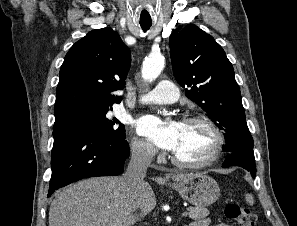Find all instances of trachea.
I'll return each mask as SVG.
<instances>
[{
  "label": "trachea",
  "mask_w": 297,
  "mask_h": 226,
  "mask_svg": "<svg viewBox=\"0 0 297 226\" xmlns=\"http://www.w3.org/2000/svg\"><path fill=\"white\" fill-rule=\"evenodd\" d=\"M140 25H141L143 31H147L151 27L152 23L151 22H140Z\"/></svg>",
  "instance_id": "1"
}]
</instances>
